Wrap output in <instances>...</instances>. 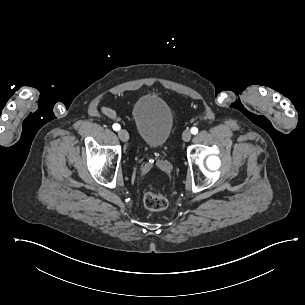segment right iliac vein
Segmentation results:
<instances>
[{
  "label": "right iliac vein",
  "instance_id": "right-iliac-vein-1",
  "mask_svg": "<svg viewBox=\"0 0 305 305\" xmlns=\"http://www.w3.org/2000/svg\"><path fill=\"white\" fill-rule=\"evenodd\" d=\"M118 136L122 141H127L129 139V134L124 129L118 131Z\"/></svg>",
  "mask_w": 305,
  "mask_h": 305
}]
</instances>
